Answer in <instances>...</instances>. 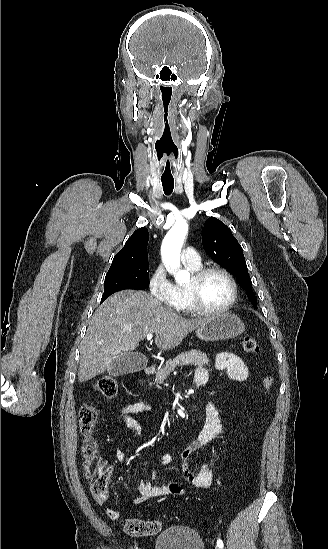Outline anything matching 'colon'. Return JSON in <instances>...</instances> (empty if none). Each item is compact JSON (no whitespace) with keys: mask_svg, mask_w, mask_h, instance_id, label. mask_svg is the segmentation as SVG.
Wrapping results in <instances>:
<instances>
[{"mask_svg":"<svg viewBox=\"0 0 328 549\" xmlns=\"http://www.w3.org/2000/svg\"><path fill=\"white\" fill-rule=\"evenodd\" d=\"M242 348L246 353L256 354L259 352V344L253 337L246 336L242 340ZM273 384V378L266 376L263 379V387L269 390ZM96 390L105 397H113L118 390V383L114 377H101L95 385ZM98 421L97 410L91 404H83L79 408L78 423L81 434L84 437L82 454L84 458V469L90 484V491L94 499L104 502L108 498V482L111 470L97 460V449L92 435ZM112 517L117 514L110 513ZM125 533L132 536H147L158 533L162 528L159 520H142L128 518L122 521Z\"/></svg>","mask_w":328,"mask_h":549,"instance_id":"colon-1","label":"colon"}]
</instances>
